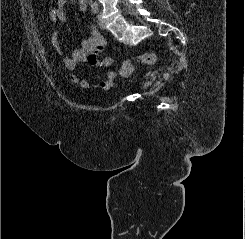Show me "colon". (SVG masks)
<instances>
[{"instance_id": "1", "label": "colon", "mask_w": 245, "mask_h": 239, "mask_svg": "<svg viewBox=\"0 0 245 239\" xmlns=\"http://www.w3.org/2000/svg\"><path fill=\"white\" fill-rule=\"evenodd\" d=\"M155 61H156V56L154 53L151 52L144 53L138 57L123 62L122 65L120 66V73L123 76H128L133 71L134 63L151 65L154 64Z\"/></svg>"}]
</instances>
